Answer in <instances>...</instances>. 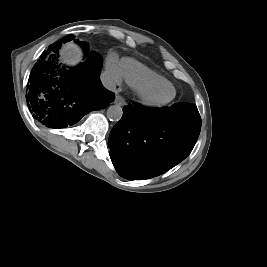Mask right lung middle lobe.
Listing matches in <instances>:
<instances>
[{
	"label": "right lung middle lobe",
	"mask_w": 267,
	"mask_h": 267,
	"mask_svg": "<svg viewBox=\"0 0 267 267\" xmlns=\"http://www.w3.org/2000/svg\"><path fill=\"white\" fill-rule=\"evenodd\" d=\"M75 38V36L73 35H68L67 37H64L61 41H58L52 45L49 46L50 49H52L53 47L60 45L62 42H67L70 40H73ZM75 42H77V40H75ZM81 47L83 48L84 51L88 50V44L85 42H80Z\"/></svg>",
	"instance_id": "obj_1"
}]
</instances>
